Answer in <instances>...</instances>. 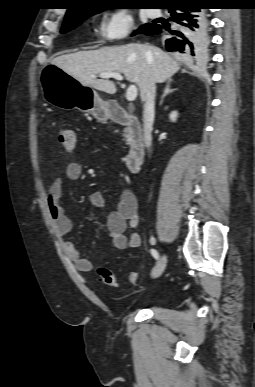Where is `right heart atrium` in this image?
Instances as JSON below:
<instances>
[{
    "label": "right heart atrium",
    "mask_w": 255,
    "mask_h": 387,
    "mask_svg": "<svg viewBox=\"0 0 255 387\" xmlns=\"http://www.w3.org/2000/svg\"><path fill=\"white\" fill-rule=\"evenodd\" d=\"M134 27L133 17L126 9H116L108 14L99 28L102 39L113 42L126 38Z\"/></svg>",
    "instance_id": "obj_1"
}]
</instances>
